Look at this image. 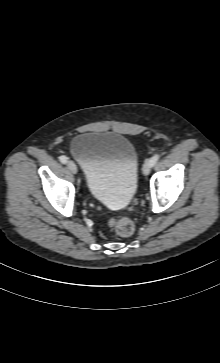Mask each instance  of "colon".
Masks as SVG:
<instances>
[{"label": "colon", "mask_w": 220, "mask_h": 363, "mask_svg": "<svg viewBox=\"0 0 220 363\" xmlns=\"http://www.w3.org/2000/svg\"><path fill=\"white\" fill-rule=\"evenodd\" d=\"M109 225L118 235L123 237L130 236L135 231L134 221L127 216L113 217L110 219Z\"/></svg>", "instance_id": "5ec220e1"}]
</instances>
